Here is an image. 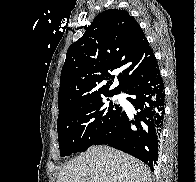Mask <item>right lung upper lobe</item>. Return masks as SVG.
I'll list each match as a JSON object with an SVG mask.
<instances>
[{"label":"right lung upper lobe","instance_id":"right-lung-upper-lobe-1","mask_svg":"<svg viewBox=\"0 0 196 182\" xmlns=\"http://www.w3.org/2000/svg\"><path fill=\"white\" fill-rule=\"evenodd\" d=\"M155 60L145 34L127 11L101 12L67 50L58 93L59 114L101 94L125 92ZM115 69L122 70L119 85L109 91L114 80L110 72Z\"/></svg>","mask_w":196,"mask_h":182}]
</instances>
